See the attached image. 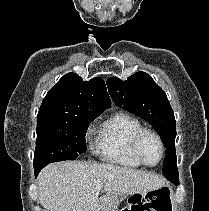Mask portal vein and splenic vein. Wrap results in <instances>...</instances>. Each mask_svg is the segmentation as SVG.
Listing matches in <instances>:
<instances>
[{
	"instance_id": "obj_1",
	"label": "portal vein and splenic vein",
	"mask_w": 209,
	"mask_h": 211,
	"mask_svg": "<svg viewBox=\"0 0 209 211\" xmlns=\"http://www.w3.org/2000/svg\"><path fill=\"white\" fill-rule=\"evenodd\" d=\"M102 185H103V184H102V182H101V181H97V185H96V186H97V188H101V187H102Z\"/></svg>"
}]
</instances>
